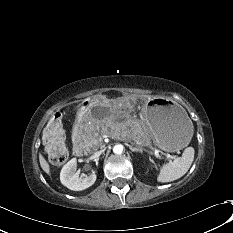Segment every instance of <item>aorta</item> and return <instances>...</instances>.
I'll use <instances>...</instances> for the list:
<instances>
[{
    "instance_id": "1",
    "label": "aorta",
    "mask_w": 233,
    "mask_h": 233,
    "mask_svg": "<svg viewBox=\"0 0 233 233\" xmlns=\"http://www.w3.org/2000/svg\"><path fill=\"white\" fill-rule=\"evenodd\" d=\"M124 147L121 144H117L113 147V152L117 155H120L123 153Z\"/></svg>"
}]
</instances>
